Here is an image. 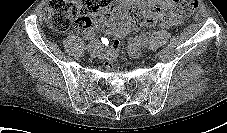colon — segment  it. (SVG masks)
I'll use <instances>...</instances> for the list:
<instances>
[{"mask_svg":"<svg viewBox=\"0 0 227 133\" xmlns=\"http://www.w3.org/2000/svg\"><path fill=\"white\" fill-rule=\"evenodd\" d=\"M114 3V0H49L46 19L49 26L57 32H65L70 28L85 31L92 26V18L102 15ZM176 9L175 14L187 17L198 7L197 0H172ZM129 16L134 24L162 22L167 15L158 7L148 12L138 5L129 8ZM119 41L114 40L107 54V65L116 58Z\"/></svg>","mask_w":227,"mask_h":133,"instance_id":"5ec220e1","label":"colon"}]
</instances>
